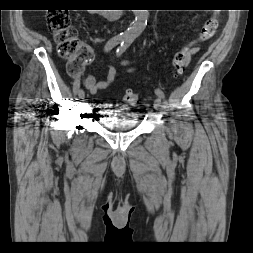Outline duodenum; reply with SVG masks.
<instances>
[{
  "label": "duodenum",
  "instance_id": "1",
  "mask_svg": "<svg viewBox=\"0 0 253 253\" xmlns=\"http://www.w3.org/2000/svg\"><path fill=\"white\" fill-rule=\"evenodd\" d=\"M103 14L109 19H119L123 16L124 12L119 11L118 9H107Z\"/></svg>",
  "mask_w": 253,
  "mask_h": 253
}]
</instances>
